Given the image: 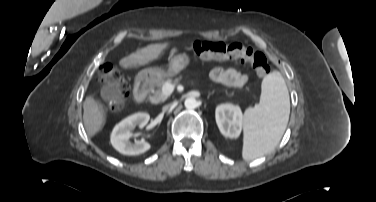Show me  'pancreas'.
<instances>
[{"mask_svg":"<svg viewBox=\"0 0 376 202\" xmlns=\"http://www.w3.org/2000/svg\"><path fill=\"white\" fill-rule=\"evenodd\" d=\"M167 82L171 83L172 79L164 76V77H161V78H159V79L150 83L149 87H150V91L152 93V96L149 97V100L152 103L157 104V103L163 102L167 99V96H165L162 93V87Z\"/></svg>","mask_w":376,"mask_h":202,"instance_id":"obj_1","label":"pancreas"}]
</instances>
